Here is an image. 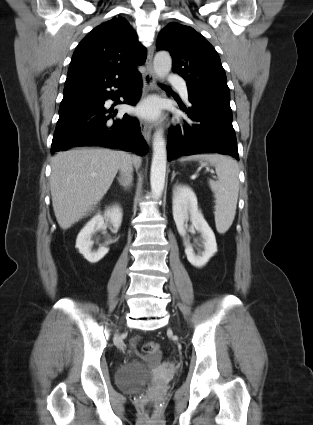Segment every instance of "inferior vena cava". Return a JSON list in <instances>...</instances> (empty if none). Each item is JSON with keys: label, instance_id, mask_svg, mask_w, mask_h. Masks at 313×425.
Segmentation results:
<instances>
[{"label": "inferior vena cava", "instance_id": "inferior-vena-cava-1", "mask_svg": "<svg viewBox=\"0 0 313 425\" xmlns=\"http://www.w3.org/2000/svg\"><path fill=\"white\" fill-rule=\"evenodd\" d=\"M122 174V180L125 186H129L132 182L133 160L131 157L124 159L119 167Z\"/></svg>", "mask_w": 313, "mask_h": 425}]
</instances>
